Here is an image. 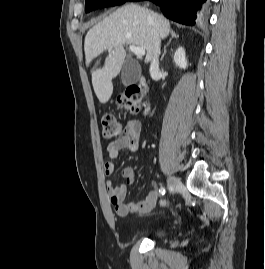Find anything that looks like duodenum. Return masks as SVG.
Returning a JSON list of instances; mask_svg holds the SVG:
<instances>
[{
	"label": "duodenum",
	"mask_w": 265,
	"mask_h": 269,
	"mask_svg": "<svg viewBox=\"0 0 265 269\" xmlns=\"http://www.w3.org/2000/svg\"><path fill=\"white\" fill-rule=\"evenodd\" d=\"M145 81H144V79H141L140 80V84H143ZM146 111V110H145Z\"/></svg>",
	"instance_id": "duodenum-1"
}]
</instances>
